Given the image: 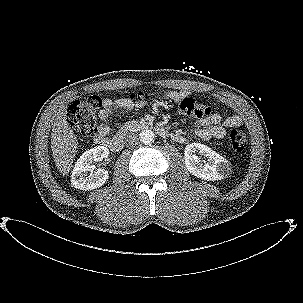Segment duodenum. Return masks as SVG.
<instances>
[{
    "label": "duodenum",
    "mask_w": 303,
    "mask_h": 303,
    "mask_svg": "<svg viewBox=\"0 0 303 303\" xmlns=\"http://www.w3.org/2000/svg\"><path fill=\"white\" fill-rule=\"evenodd\" d=\"M127 129L130 131H136V130L145 131V130L154 129L161 137H163V138L171 137L172 138V135L170 134V132L167 129H165L163 127H157V126L155 127L148 123H143V122L130 123L127 126ZM102 145L109 147L114 152H119V151H121V149L124 146V138H123V136H117L112 139H106L104 141V144H102Z\"/></svg>",
    "instance_id": "410a0bca"
}]
</instances>
